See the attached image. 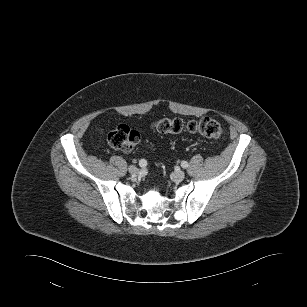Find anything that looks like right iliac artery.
I'll list each match as a JSON object with an SVG mask.
<instances>
[{
	"instance_id": "82829eb1",
	"label": "right iliac artery",
	"mask_w": 307,
	"mask_h": 307,
	"mask_svg": "<svg viewBox=\"0 0 307 307\" xmlns=\"http://www.w3.org/2000/svg\"><path fill=\"white\" fill-rule=\"evenodd\" d=\"M146 165H147V161L145 159H141L139 161V166L140 167L144 168V167H146Z\"/></svg>"
}]
</instances>
